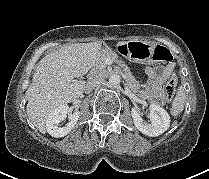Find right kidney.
Instances as JSON below:
<instances>
[{"instance_id": "ca27d5eb", "label": "right kidney", "mask_w": 209, "mask_h": 179, "mask_svg": "<svg viewBox=\"0 0 209 179\" xmlns=\"http://www.w3.org/2000/svg\"><path fill=\"white\" fill-rule=\"evenodd\" d=\"M68 109L69 107L67 104L60 105L48 115L46 120V130L52 137H64L75 127L80 117L79 111L70 114L69 122L64 127H59V123L67 118Z\"/></svg>"}]
</instances>
